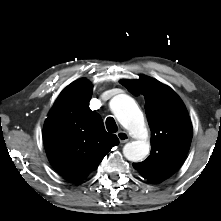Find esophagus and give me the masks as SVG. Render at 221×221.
Wrapping results in <instances>:
<instances>
[{
  "instance_id": "1",
  "label": "esophagus",
  "mask_w": 221,
  "mask_h": 221,
  "mask_svg": "<svg viewBox=\"0 0 221 221\" xmlns=\"http://www.w3.org/2000/svg\"><path fill=\"white\" fill-rule=\"evenodd\" d=\"M116 135L120 143H126L129 140L128 133L125 131H119Z\"/></svg>"
}]
</instances>
